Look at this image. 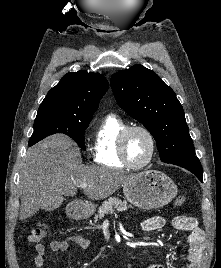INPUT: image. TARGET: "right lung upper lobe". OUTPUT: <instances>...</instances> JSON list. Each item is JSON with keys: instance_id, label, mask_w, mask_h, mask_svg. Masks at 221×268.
Masks as SVG:
<instances>
[{"instance_id": "cb5924a9", "label": "right lung upper lobe", "mask_w": 221, "mask_h": 268, "mask_svg": "<svg viewBox=\"0 0 221 268\" xmlns=\"http://www.w3.org/2000/svg\"><path fill=\"white\" fill-rule=\"evenodd\" d=\"M108 89L106 78L86 71L70 72L49 90L38 111H58L92 118Z\"/></svg>"}]
</instances>
